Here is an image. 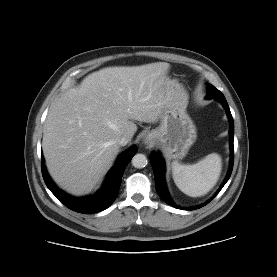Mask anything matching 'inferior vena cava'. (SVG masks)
Returning <instances> with one entry per match:
<instances>
[{"label":"inferior vena cava","instance_id":"obj_1","mask_svg":"<svg viewBox=\"0 0 277 277\" xmlns=\"http://www.w3.org/2000/svg\"><path fill=\"white\" fill-rule=\"evenodd\" d=\"M129 141L130 139L128 137L123 136L120 139H118V144L121 146H125Z\"/></svg>","mask_w":277,"mask_h":277}]
</instances>
